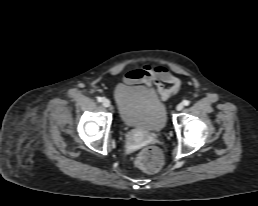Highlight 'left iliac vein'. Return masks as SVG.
I'll return each mask as SVG.
<instances>
[{
    "mask_svg": "<svg viewBox=\"0 0 258 206\" xmlns=\"http://www.w3.org/2000/svg\"><path fill=\"white\" fill-rule=\"evenodd\" d=\"M183 108H184V105H183L182 103H180V104H178V105L176 106V109H177L178 111H181Z\"/></svg>",
    "mask_w": 258,
    "mask_h": 206,
    "instance_id": "obj_1",
    "label": "left iliac vein"
}]
</instances>
